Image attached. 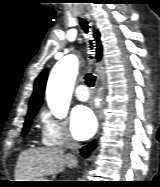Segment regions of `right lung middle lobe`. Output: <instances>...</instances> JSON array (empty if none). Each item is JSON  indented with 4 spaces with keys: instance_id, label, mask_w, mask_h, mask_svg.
<instances>
[{
    "instance_id": "dd1d6c3e",
    "label": "right lung middle lobe",
    "mask_w": 160,
    "mask_h": 187,
    "mask_svg": "<svg viewBox=\"0 0 160 187\" xmlns=\"http://www.w3.org/2000/svg\"><path fill=\"white\" fill-rule=\"evenodd\" d=\"M38 110H33L28 112L27 117H26V121L24 123V128L22 130V136H25L30 128V125L32 123V119L33 117L36 115Z\"/></svg>"
}]
</instances>
